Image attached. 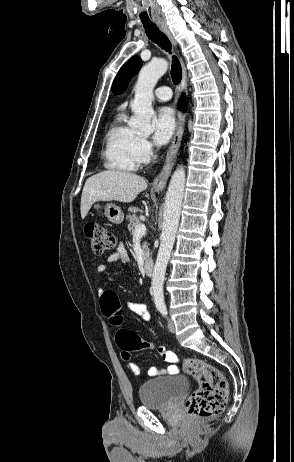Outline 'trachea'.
I'll list each match as a JSON object with an SVG mask.
<instances>
[{
  "label": "trachea",
  "instance_id": "trachea-1",
  "mask_svg": "<svg viewBox=\"0 0 294 462\" xmlns=\"http://www.w3.org/2000/svg\"><path fill=\"white\" fill-rule=\"evenodd\" d=\"M148 38L167 52L171 51V43L167 36L163 34L152 22H143ZM171 78L175 85L182 79V69L177 57L173 56L171 67Z\"/></svg>",
  "mask_w": 294,
  "mask_h": 462
}]
</instances>
